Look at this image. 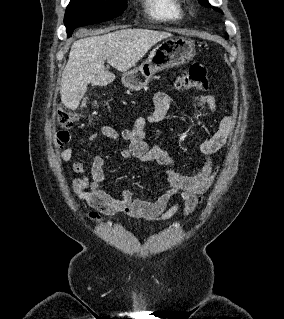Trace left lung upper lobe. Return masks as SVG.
Returning a JSON list of instances; mask_svg holds the SVG:
<instances>
[{
  "instance_id": "1",
  "label": "left lung upper lobe",
  "mask_w": 284,
  "mask_h": 319,
  "mask_svg": "<svg viewBox=\"0 0 284 319\" xmlns=\"http://www.w3.org/2000/svg\"><path fill=\"white\" fill-rule=\"evenodd\" d=\"M199 3L200 4H203V5H205V6H210V4L208 3V0H199ZM216 11H219V12H221L222 13V11L220 10V9H218V8H214ZM226 38H227V35H226Z\"/></svg>"
}]
</instances>
